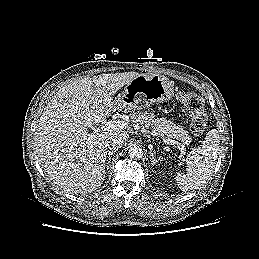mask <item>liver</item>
Returning a JSON list of instances; mask_svg holds the SVG:
<instances>
[{"label": "liver", "instance_id": "6515ba94", "mask_svg": "<svg viewBox=\"0 0 259 259\" xmlns=\"http://www.w3.org/2000/svg\"><path fill=\"white\" fill-rule=\"evenodd\" d=\"M138 75L131 71L84 77L64 86L52 97L39 119L34 146L53 184L76 194L101 186L107 141L119 137L127 142L129 134L120 128L101 133L87 128L123 109L112 96Z\"/></svg>", "mask_w": 259, "mask_h": 259}]
</instances>
